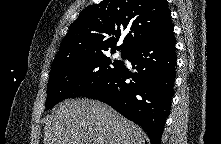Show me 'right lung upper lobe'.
I'll return each instance as SVG.
<instances>
[{"label": "right lung upper lobe", "mask_w": 221, "mask_h": 144, "mask_svg": "<svg viewBox=\"0 0 221 144\" xmlns=\"http://www.w3.org/2000/svg\"><path fill=\"white\" fill-rule=\"evenodd\" d=\"M171 24L166 0H103L86 7L71 24L52 68L108 50L127 53ZM121 35L123 43L116 47Z\"/></svg>", "instance_id": "1"}]
</instances>
